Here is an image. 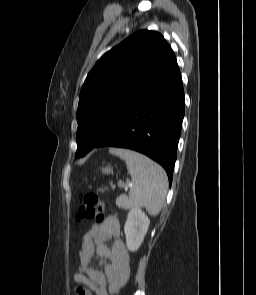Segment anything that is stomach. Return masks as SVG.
Returning a JSON list of instances; mask_svg holds the SVG:
<instances>
[{"label": "stomach", "mask_w": 256, "mask_h": 295, "mask_svg": "<svg viewBox=\"0 0 256 295\" xmlns=\"http://www.w3.org/2000/svg\"><path fill=\"white\" fill-rule=\"evenodd\" d=\"M102 172L104 174H110L113 172V169L110 166H106V167L102 168Z\"/></svg>", "instance_id": "1"}]
</instances>
